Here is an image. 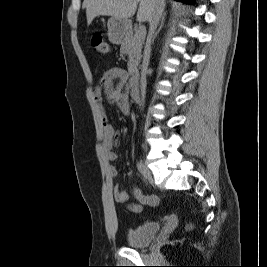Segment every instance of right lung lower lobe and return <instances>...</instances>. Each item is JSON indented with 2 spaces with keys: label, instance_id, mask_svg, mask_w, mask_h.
Listing matches in <instances>:
<instances>
[{
  "label": "right lung lower lobe",
  "instance_id": "98d812e1",
  "mask_svg": "<svg viewBox=\"0 0 267 267\" xmlns=\"http://www.w3.org/2000/svg\"><path fill=\"white\" fill-rule=\"evenodd\" d=\"M176 1H181V2H185V3H189V4L195 3V0H176Z\"/></svg>",
  "mask_w": 267,
  "mask_h": 267
}]
</instances>
